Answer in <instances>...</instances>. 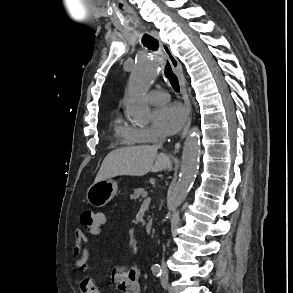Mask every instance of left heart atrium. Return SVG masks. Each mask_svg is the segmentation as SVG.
Listing matches in <instances>:
<instances>
[{
    "label": "left heart atrium",
    "mask_w": 293,
    "mask_h": 293,
    "mask_svg": "<svg viewBox=\"0 0 293 293\" xmlns=\"http://www.w3.org/2000/svg\"><path fill=\"white\" fill-rule=\"evenodd\" d=\"M185 118V109L178 103L161 106L153 114L154 125L163 135L176 133L184 123Z\"/></svg>",
    "instance_id": "39dd6f15"
}]
</instances>
